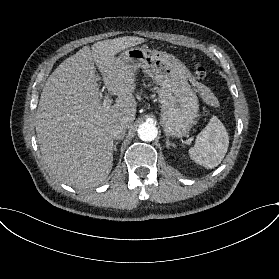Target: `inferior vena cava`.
Returning a JSON list of instances; mask_svg holds the SVG:
<instances>
[{"instance_id": "obj_1", "label": "inferior vena cava", "mask_w": 279, "mask_h": 279, "mask_svg": "<svg viewBox=\"0 0 279 279\" xmlns=\"http://www.w3.org/2000/svg\"><path fill=\"white\" fill-rule=\"evenodd\" d=\"M128 127L125 124H116L111 128L113 139H121L126 135Z\"/></svg>"}]
</instances>
